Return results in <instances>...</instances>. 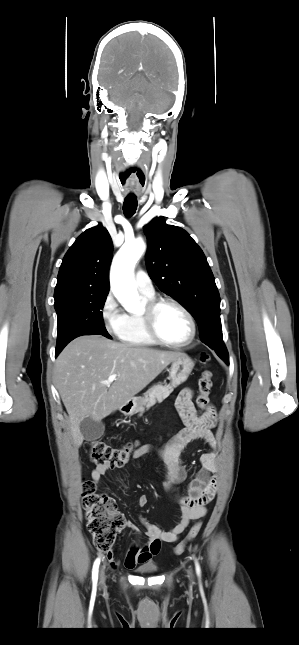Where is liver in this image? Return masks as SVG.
Instances as JSON below:
<instances>
[{
    "label": "liver",
    "mask_w": 299,
    "mask_h": 645,
    "mask_svg": "<svg viewBox=\"0 0 299 645\" xmlns=\"http://www.w3.org/2000/svg\"><path fill=\"white\" fill-rule=\"evenodd\" d=\"M183 353L116 342L100 335L80 336L59 354L54 382L68 412L73 443L84 437L85 418L101 421L125 405ZM112 374L111 385L104 381Z\"/></svg>",
    "instance_id": "1"
}]
</instances>
